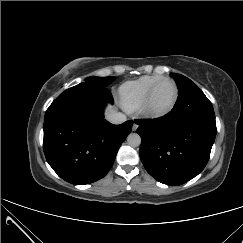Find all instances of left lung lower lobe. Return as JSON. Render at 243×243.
Segmentation results:
<instances>
[{
  "mask_svg": "<svg viewBox=\"0 0 243 243\" xmlns=\"http://www.w3.org/2000/svg\"><path fill=\"white\" fill-rule=\"evenodd\" d=\"M179 100L164 117L135 121L145 169L171 186L188 182L204 169L216 136L215 118L186 117L180 113Z\"/></svg>",
  "mask_w": 243,
  "mask_h": 243,
  "instance_id": "obj_1",
  "label": "left lung lower lobe"
}]
</instances>
